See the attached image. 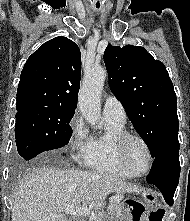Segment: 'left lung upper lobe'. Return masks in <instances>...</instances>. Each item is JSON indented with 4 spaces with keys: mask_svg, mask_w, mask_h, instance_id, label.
Returning a JSON list of instances; mask_svg holds the SVG:
<instances>
[{
    "mask_svg": "<svg viewBox=\"0 0 190 221\" xmlns=\"http://www.w3.org/2000/svg\"><path fill=\"white\" fill-rule=\"evenodd\" d=\"M104 62L109 86L154 158L178 142L177 99L169 74L145 48L108 45Z\"/></svg>",
    "mask_w": 190,
    "mask_h": 221,
    "instance_id": "5c2ea615",
    "label": "left lung upper lobe"
}]
</instances>
